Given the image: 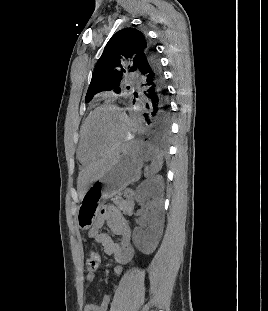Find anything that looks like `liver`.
Segmentation results:
<instances>
[{"mask_svg": "<svg viewBox=\"0 0 268 311\" xmlns=\"http://www.w3.org/2000/svg\"><path fill=\"white\" fill-rule=\"evenodd\" d=\"M115 157L109 159H103L98 162H95L86 168H84L78 176V186L82 191L81 196H83L84 192L88 188V186L98 179L104 171L108 168L111 162L114 160Z\"/></svg>", "mask_w": 268, "mask_h": 311, "instance_id": "1", "label": "liver"}]
</instances>
